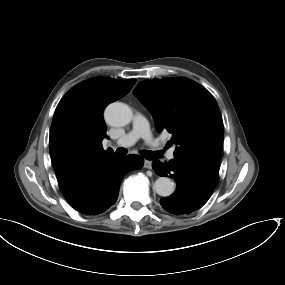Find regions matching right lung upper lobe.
I'll list each match as a JSON object with an SVG mask.
<instances>
[{"label": "right lung upper lobe", "mask_w": 285, "mask_h": 285, "mask_svg": "<svg viewBox=\"0 0 285 285\" xmlns=\"http://www.w3.org/2000/svg\"><path fill=\"white\" fill-rule=\"evenodd\" d=\"M136 79L95 77L72 87L59 102L51 124L49 150L64 197L102 165L116 159L104 150L105 107L129 93Z\"/></svg>", "instance_id": "cb5924a9"}]
</instances>
